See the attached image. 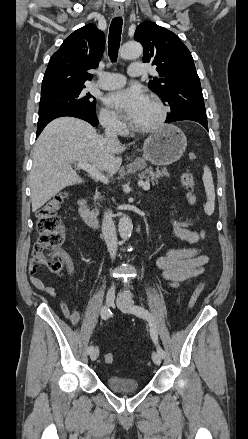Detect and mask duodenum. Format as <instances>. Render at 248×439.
I'll list each match as a JSON object with an SVG mask.
<instances>
[{"label":"duodenum","instance_id":"duodenum-1","mask_svg":"<svg viewBox=\"0 0 248 439\" xmlns=\"http://www.w3.org/2000/svg\"><path fill=\"white\" fill-rule=\"evenodd\" d=\"M79 214L84 221L91 228H98V218L96 212H94L88 205L86 196H82L78 200Z\"/></svg>","mask_w":248,"mask_h":439}]
</instances>
